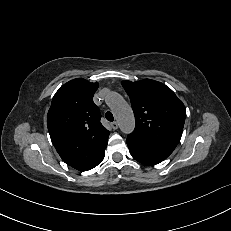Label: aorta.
Listing matches in <instances>:
<instances>
[{"instance_id": "obj_1", "label": "aorta", "mask_w": 231, "mask_h": 231, "mask_svg": "<svg viewBox=\"0 0 231 231\" xmlns=\"http://www.w3.org/2000/svg\"><path fill=\"white\" fill-rule=\"evenodd\" d=\"M107 103L113 110L121 131L125 134L131 133L135 127V120L130 105L116 92L108 95Z\"/></svg>"}]
</instances>
